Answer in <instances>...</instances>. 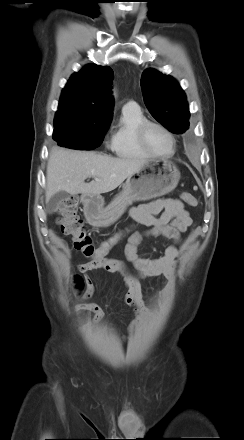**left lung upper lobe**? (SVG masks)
<instances>
[{"label":"left lung upper lobe","mask_w":244,"mask_h":440,"mask_svg":"<svg viewBox=\"0 0 244 440\" xmlns=\"http://www.w3.org/2000/svg\"><path fill=\"white\" fill-rule=\"evenodd\" d=\"M141 88L145 104L158 122L176 134L189 128L186 96L173 77L147 69L141 77Z\"/></svg>","instance_id":"obj_1"}]
</instances>
